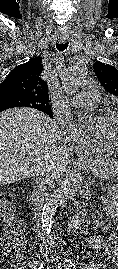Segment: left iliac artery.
I'll use <instances>...</instances> for the list:
<instances>
[{
	"label": "left iliac artery",
	"instance_id": "44dca946",
	"mask_svg": "<svg viewBox=\"0 0 118 269\" xmlns=\"http://www.w3.org/2000/svg\"><path fill=\"white\" fill-rule=\"evenodd\" d=\"M63 261L66 269H76V265L71 260L64 258Z\"/></svg>",
	"mask_w": 118,
	"mask_h": 269
}]
</instances>
